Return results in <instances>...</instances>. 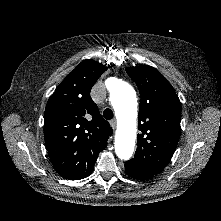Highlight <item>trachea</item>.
Listing matches in <instances>:
<instances>
[{
	"label": "trachea",
	"instance_id": "obj_1",
	"mask_svg": "<svg viewBox=\"0 0 221 221\" xmlns=\"http://www.w3.org/2000/svg\"><path fill=\"white\" fill-rule=\"evenodd\" d=\"M103 117L107 120H111L114 117L113 111L110 108H106L103 111Z\"/></svg>",
	"mask_w": 221,
	"mask_h": 221
}]
</instances>
